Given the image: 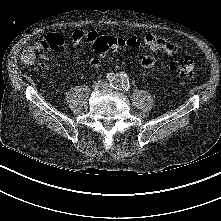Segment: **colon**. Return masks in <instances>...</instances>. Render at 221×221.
I'll use <instances>...</instances> for the list:
<instances>
[{
  "mask_svg": "<svg viewBox=\"0 0 221 221\" xmlns=\"http://www.w3.org/2000/svg\"><path fill=\"white\" fill-rule=\"evenodd\" d=\"M137 48L140 46V41L136 37H130L128 39L100 36L93 42V50L98 54H103L110 49H116L121 47ZM35 50L34 47H26L21 54V60L25 64H32L35 62ZM174 72L180 77H192L196 72L195 61L192 57H186L183 61L173 67Z\"/></svg>",
  "mask_w": 221,
  "mask_h": 221,
  "instance_id": "1",
  "label": "colon"
}]
</instances>
